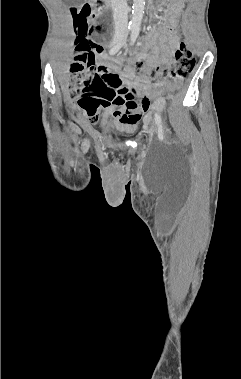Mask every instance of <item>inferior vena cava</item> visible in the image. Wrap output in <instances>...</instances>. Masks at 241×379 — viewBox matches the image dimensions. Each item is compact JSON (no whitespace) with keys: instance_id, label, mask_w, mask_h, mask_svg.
<instances>
[{"instance_id":"1","label":"inferior vena cava","mask_w":241,"mask_h":379,"mask_svg":"<svg viewBox=\"0 0 241 379\" xmlns=\"http://www.w3.org/2000/svg\"><path fill=\"white\" fill-rule=\"evenodd\" d=\"M113 9V18L115 22V34L116 38L123 37L127 32L128 22V6L127 0H111Z\"/></svg>"}]
</instances>
